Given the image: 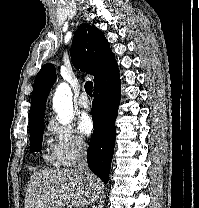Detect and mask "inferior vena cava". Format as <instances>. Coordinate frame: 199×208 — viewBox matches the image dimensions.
I'll return each mask as SVG.
<instances>
[{"label": "inferior vena cava", "instance_id": "602c4592", "mask_svg": "<svg viewBox=\"0 0 199 208\" xmlns=\"http://www.w3.org/2000/svg\"><path fill=\"white\" fill-rule=\"evenodd\" d=\"M76 171L90 175L87 165L86 145L83 141L78 143L77 157H76Z\"/></svg>", "mask_w": 199, "mask_h": 208}]
</instances>
